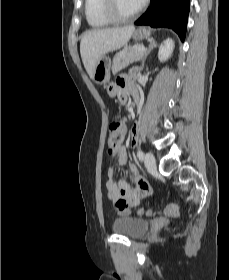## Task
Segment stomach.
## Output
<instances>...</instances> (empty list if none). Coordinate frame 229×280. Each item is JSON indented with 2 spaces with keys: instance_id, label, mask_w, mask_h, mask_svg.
I'll list each match as a JSON object with an SVG mask.
<instances>
[{
  "instance_id": "stomach-1",
  "label": "stomach",
  "mask_w": 229,
  "mask_h": 280,
  "mask_svg": "<svg viewBox=\"0 0 229 280\" xmlns=\"http://www.w3.org/2000/svg\"><path fill=\"white\" fill-rule=\"evenodd\" d=\"M151 35V30L145 27H140L133 33V38L136 41L148 39ZM111 61L108 57H102L96 64L92 80L99 84L108 83L110 80Z\"/></svg>"
}]
</instances>
